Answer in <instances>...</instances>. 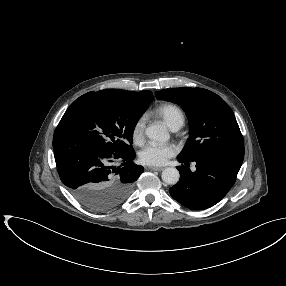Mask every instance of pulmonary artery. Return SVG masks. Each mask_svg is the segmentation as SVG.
Segmentation results:
<instances>
[{
	"label": "pulmonary artery",
	"mask_w": 286,
	"mask_h": 286,
	"mask_svg": "<svg viewBox=\"0 0 286 286\" xmlns=\"http://www.w3.org/2000/svg\"><path fill=\"white\" fill-rule=\"evenodd\" d=\"M181 126H175V127H172V130H178Z\"/></svg>",
	"instance_id": "1"
}]
</instances>
